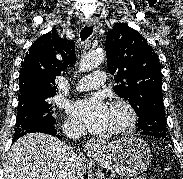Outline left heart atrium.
<instances>
[{
  "label": "left heart atrium",
  "instance_id": "39dd6f15",
  "mask_svg": "<svg viewBox=\"0 0 183 179\" xmlns=\"http://www.w3.org/2000/svg\"><path fill=\"white\" fill-rule=\"evenodd\" d=\"M71 113L91 132H103L108 128L110 107L100 96L76 101L71 106Z\"/></svg>",
  "mask_w": 183,
  "mask_h": 179
}]
</instances>
